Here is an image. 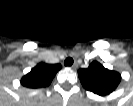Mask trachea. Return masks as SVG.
Listing matches in <instances>:
<instances>
[{
	"mask_svg": "<svg viewBox=\"0 0 133 106\" xmlns=\"http://www.w3.org/2000/svg\"><path fill=\"white\" fill-rule=\"evenodd\" d=\"M74 60L71 57H68L64 61L65 66H71L73 64Z\"/></svg>",
	"mask_w": 133,
	"mask_h": 106,
	"instance_id": "trachea-1",
	"label": "trachea"
}]
</instances>
